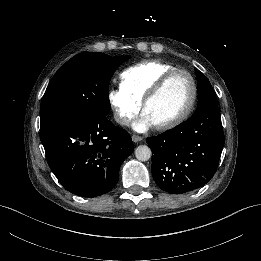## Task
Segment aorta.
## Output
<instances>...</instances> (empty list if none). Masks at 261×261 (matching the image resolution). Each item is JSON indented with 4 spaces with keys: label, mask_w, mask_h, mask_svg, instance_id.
Listing matches in <instances>:
<instances>
[{
    "label": "aorta",
    "mask_w": 261,
    "mask_h": 261,
    "mask_svg": "<svg viewBox=\"0 0 261 261\" xmlns=\"http://www.w3.org/2000/svg\"><path fill=\"white\" fill-rule=\"evenodd\" d=\"M135 157L141 162L148 161L151 158V150L146 145L138 146L135 150Z\"/></svg>",
    "instance_id": "1"
}]
</instances>
